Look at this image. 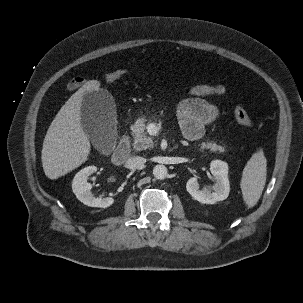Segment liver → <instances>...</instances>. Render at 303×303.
<instances>
[{
  "label": "liver",
  "mask_w": 303,
  "mask_h": 303,
  "mask_svg": "<svg viewBox=\"0 0 303 303\" xmlns=\"http://www.w3.org/2000/svg\"><path fill=\"white\" fill-rule=\"evenodd\" d=\"M100 82L87 81L62 106L52 121L42 148V166L49 179H58L82 165L91 146L81 124V103L86 92L99 90Z\"/></svg>",
  "instance_id": "obj_1"
}]
</instances>
